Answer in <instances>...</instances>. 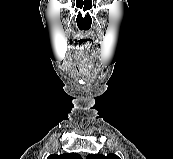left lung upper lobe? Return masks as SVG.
I'll list each match as a JSON object with an SVG mask.
<instances>
[{"label":"left lung upper lobe","mask_w":173,"mask_h":159,"mask_svg":"<svg viewBox=\"0 0 173 159\" xmlns=\"http://www.w3.org/2000/svg\"><path fill=\"white\" fill-rule=\"evenodd\" d=\"M87 159H120V158L115 154H108L107 156L102 154H89L87 156Z\"/></svg>","instance_id":"obj_1"}]
</instances>
